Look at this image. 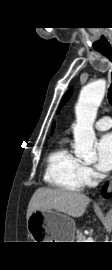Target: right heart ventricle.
I'll return each instance as SVG.
<instances>
[{"label": "right heart ventricle", "mask_w": 112, "mask_h": 270, "mask_svg": "<svg viewBox=\"0 0 112 270\" xmlns=\"http://www.w3.org/2000/svg\"><path fill=\"white\" fill-rule=\"evenodd\" d=\"M82 164L63 142L48 155L44 180L60 190L79 192L85 185Z\"/></svg>", "instance_id": "1"}]
</instances>
